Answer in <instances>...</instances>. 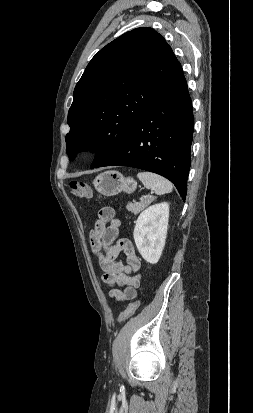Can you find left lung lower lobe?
Listing matches in <instances>:
<instances>
[{
  "label": "left lung lower lobe",
  "mask_w": 253,
  "mask_h": 413,
  "mask_svg": "<svg viewBox=\"0 0 253 413\" xmlns=\"http://www.w3.org/2000/svg\"><path fill=\"white\" fill-rule=\"evenodd\" d=\"M193 127L191 98L178 62L123 145L101 166H129L162 175L185 200Z\"/></svg>",
  "instance_id": "0a47b994"
}]
</instances>
